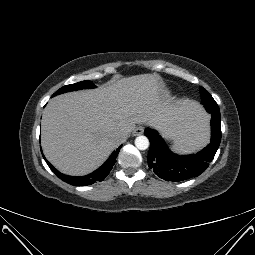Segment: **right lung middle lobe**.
<instances>
[{"mask_svg": "<svg viewBox=\"0 0 255 255\" xmlns=\"http://www.w3.org/2000/svg\"><path fill=\"white\" fill-rule=\"evenodd\" d=\"M96 86L91 81H81L75 84L66 85L59 90H57L53 96H56L61 93L69 92V91H75V90H81V89H89V88H95Z\"/></svg>", "mask_w": 255, "mask_h": 255, "instance_id": "right-lung-middle-lobe-1", "label": "right lung middle lobe"}]
</instances>
